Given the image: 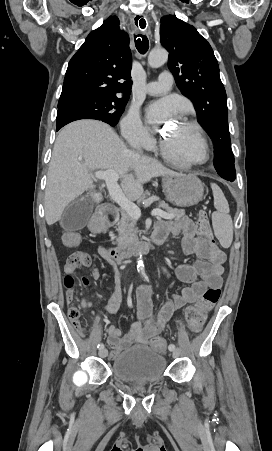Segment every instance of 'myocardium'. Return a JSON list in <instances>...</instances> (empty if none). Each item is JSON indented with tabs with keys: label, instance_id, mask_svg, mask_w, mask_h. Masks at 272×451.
<instances>
[{
	"label": "myocardium",
	"instance_id": "f54148a6",
	"mask_svg": "<svg viewBox=\"0 0 272 451\" xmlns=\"http://www.w3.org/2000/svg\"><path fill=\"white\" fill-rule=\"evenodd\" d=\"M182 124L187 126L194 135L196 144H197V150L198 153L195 157L191 158H183L179 155V153L175 150H169L168 145L166 141H162V151L163 153L170 157L173 162H186L190 166H201L208 162L210 155H209V149L207 142L202 134L201 128L194 122L189 121L187 119H183Z\"/></svg>",
	"mask_w": 272,
	"mask_h": 451
}]
</instances>
